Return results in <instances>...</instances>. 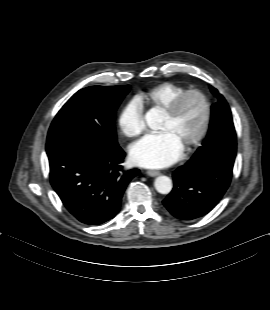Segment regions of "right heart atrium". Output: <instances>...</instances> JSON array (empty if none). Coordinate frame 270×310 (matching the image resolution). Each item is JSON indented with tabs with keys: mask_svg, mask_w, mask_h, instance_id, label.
Here are the masks:
<instances>
[{
	"mask_svg": "<svg viewBox=\"0 0 270 310\" xmlns=\"http://www.w3.org/2000/svg\"><path fill=\"white\" fill-rule=\"evenodd\" d=\"M118 125L121 132L129 138L139 136L145 127L144 111L137 98L128 101L120 112Z\"/></svg>",
	"mask_w": 270,
	"mask_h": 310,
	"instance_id": "1",
	"label": "right heart atrium"
}]
</instances>
